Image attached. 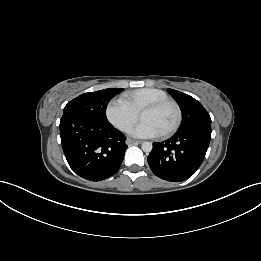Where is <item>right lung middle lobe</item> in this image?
<instances>
[{
  "label": "right lung middle lobe",
  "mask_w": 261,
  "mask_h": 261,
  "mask_svg": "<svg viewBox=\"0 0 261 261\" xmlns=\"http://www.w3.org/2000/svg\"><path fill=\"white\" fill-rule=\"evenodd\" d=\"M117 89H104L84 93L71 100L64 108L63 115H75L86 119L107 122L106 107L108 102L120 91Z\"/></svg>",
  "instance_id": "obj_1"
}]
</instances>
